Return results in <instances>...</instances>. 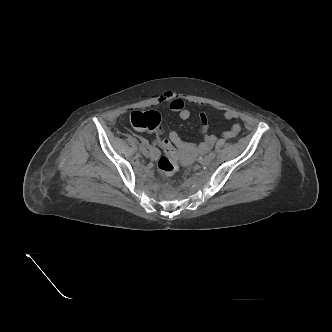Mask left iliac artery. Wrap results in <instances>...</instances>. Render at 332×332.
<instances>
[{
  "label": "left iliac artery",
  "mask_w": 332,
  "mask_h": 332,
  "mask_svg": "<svg viewBox=\"0 0 332 332\" xmlns=\"http://www.w3.org/2000/svg\"><path fill=\"white\" fill-rule=\"evenodd\" d=\"M209 156H210L212 159H214L215 156H216V154H215V152H210V153H209Z\"/></svg>",
  "instance_id": "left-iliac-artery-1"
}]
</instances>
